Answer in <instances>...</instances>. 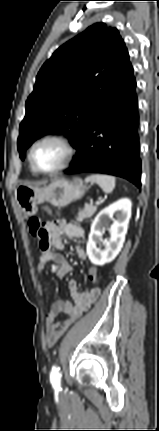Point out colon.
Returning a JSON list of instances; mask_svg holds the SVG:
<instances>
[{
    "label": "colon",
    "mask_w": 159,
    "mask_h": 431,
    "mask_svg": "<svg viewBox=\"0 0 159 431\" xmlns=\"http://www.w3.org/2000/svg\"><path fill=\"white\" fill-rule=\"evenodd\" d=\"M48 210V208H45ZM29 231L31 235L34 237H39L44 234V221L37 217H32L29 219L28 222ZM98 271V268L95 265H92L90 267V273L88 274L89 283L92 284V288H96L97 286V275L95 274Z\"/></svg>",
    "instance_id": "obj_1"
}]
</instances>
